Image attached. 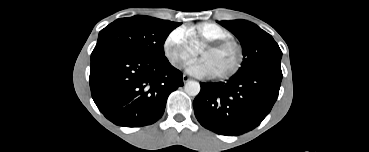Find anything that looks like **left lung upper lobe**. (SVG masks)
Returning a JSON list of instances; mask_svg holds the SVG:
<instances>
[{"label":"left lung upper lobe","mask_w":369,"mask_h":152,"mask_svg":"<svg viewBox=\"0 0 369 152\" xmlns=\"http://www.w3.org/2000/svg\"><path fill=\"white\" fill-rule=\"evenodd\" d=\"M232 32L243 49V62L236 75L246 76L261 72L282 74V52L271 35L246 20L218 21Z\"/></svg>","instance_id":"5c2ea615"}]
</instances>
